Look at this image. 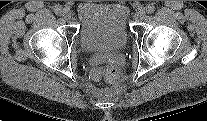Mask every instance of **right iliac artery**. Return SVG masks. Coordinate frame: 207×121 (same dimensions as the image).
Listing matches in <instances>:
<instances>
[{"label":"right iliac artery","mask_w":207,"mask_h":121,"mask_svg":"<svg viewBox=\"0 0 207 121\" xmlns=\"http://www.w3.org/2000/svg\"><path fill=\"white\" fill-rule=\"evenodd\" d=\"M63 10H64L63 7L60 5H56L54 8V12L56 13V15H61Z\"/></svg>","instance_id":"1"}]
</instances>
